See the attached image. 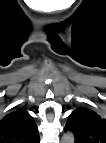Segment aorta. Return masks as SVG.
<instances>
[{
	"instance_id": "762f6f07",
	"label": "aorta",
	"mask_w": 106,
	"mask_h": 143,
	"mask_svg": "<svg viewBox=\"0 0 106 143\" xmlns=\"http://www.w3.org/2000/svg\"><path fill=\"white\" fill-rule=\"evenodd\" d=\"M62 143H74V135L71 132H67L62 137Z\"/></svg>"
}]
</instances>
